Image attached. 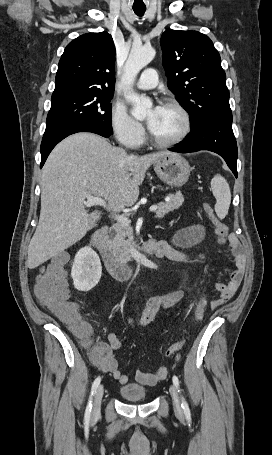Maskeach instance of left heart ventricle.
Returning <instances> with one entry per match:
<instances>
[{
	"label": "left heart ventricle",
	"instance_id": "b2bd125f",
	"mask_svg": "<svg viewBox=\"0 0 272 455\" xmlns=\"http://www.w3.org/2000/svg\"><path fill=\"white\" fill-rule=\"evenodd\" d=\"M151 113L152 110L149 111L147 119L150 117ZM182 126V118L177 110L171 107L161 106L154 128L151 132L160 140H170L180 133Z\"/></svg>",
	"mask_w": 272,
	"mask_h": 455
}]
</instances>
